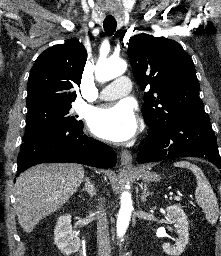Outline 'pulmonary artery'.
Here are the masks:
<instances>
[{"label": "pulmonary artery", "instance_id": "obj_1", "mask_svg": "<svg viewBox=\"0 0 221 256\" xmlns=\"http://www.w3.org/2000/svg\"><path fill=\"white\" fill-rule=\"evenodd\" d=\"M131 90V82L128 77L116 78L101 91L99 98L102 100H113L126 96Z\"/></svg>", "mask_w": 221, "mask_h": 256}]
</instances>
